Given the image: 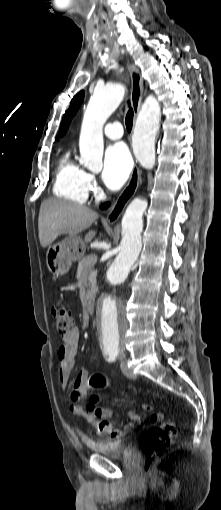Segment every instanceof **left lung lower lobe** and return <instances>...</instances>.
Returning a JSON list of instances; mask_svg holds the SVG:
<instances>
[{
	"mask_svg": "<svg viewBox=\"0 0 221 510\" xmlns=\"http://www.w3.org/2000/svg\"><path fill=\"white\" fill-rule=\"evenodd\" d=\"M108 206H109V204H108V203H107V204H103V205L101 206V208H107Z\"/></svg>",
	"mask_w": 221,
	"mask_h": 510,
	"instance_id": "obj_1",
	"label": "left lung lower lobe"
}]
</instances>
